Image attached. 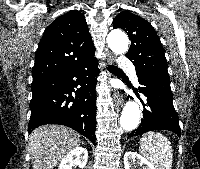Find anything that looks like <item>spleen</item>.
<instances>
[{
	"label": "spleen",
	"instance_id": "3e777b00",
	"mask_svg": "<svg viewBox=\"0 0 200 169\" xmlns=\"http://www.w3.org/2000/svg\"><path fill=\"white\" fill-rule=\"evenodd\" d=\"M139 150L150 160L156 169H171L173 150L167 137L159 132L150 131L140 139Z\"/></svg>",
	"mask_w": 200,
	"mask_h": 169
}]
</instances>
